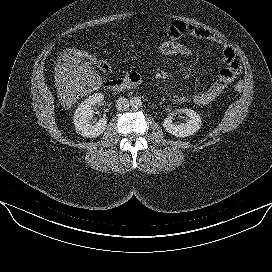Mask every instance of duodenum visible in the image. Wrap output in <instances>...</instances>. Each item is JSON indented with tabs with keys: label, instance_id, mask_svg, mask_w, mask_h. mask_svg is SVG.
I'll return each mask as SVG.
<instances>
[{
	"label": "duodenum",
	"instance_id": "1",
	"mask_svg": "<svg viewBox=\"0 0 272 272\" xmlns=\"http://www.w3.org/2000/svg\"><path fill=\"white\" fill-rule=\"evenodd\" d=\"M140 82L138 74L130 73L124 78L111 79L105 82V86L112 91H123L127 88L136 86Z\"/></svg>",
	"mask_w": 272,
	"mask_h": 272
}]
</instances>
